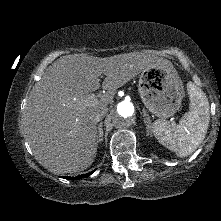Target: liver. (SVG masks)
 <instances>
[{"label":"liver","instance_id":"1","mask_svg":"<svg viewBox=\"0 0 221 221\" xmlns=\"http://www.w3.org/2000/svg\"><path fill=\"white\" fill-rule=\"evenodd\" d=\"M173 68L158 55L132 52L111 57H65L55 61L33 86L24 111L27 141L38 162L57 174L76 173L94 161L98 147L95 117L112 102L116 89L143 70ZM106 90L92 105L84 99Z\"/></svg>","mask_w":221,"mask_h":221}]
</instances>
